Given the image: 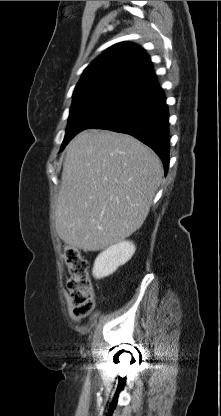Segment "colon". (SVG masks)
Masks as SVG:
<instances>
[{"instance_id": "1", "label": "colon", "mask_w": 221, "mask_h": 416, "mask_svg": "<svg viewBox=\"0 0 221 416\" xmlns=\"http://www.w3.org/2000/svg\"><path fill=\"white\" fill-rule=\"evenodd\" d=\"M62 256L68 267L67 290L73 314L77 317L87 316L94 307L90 263L71 245L63 247Z\"/></svg>"}]
</instances>
